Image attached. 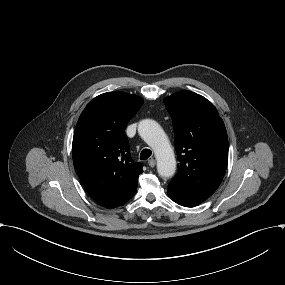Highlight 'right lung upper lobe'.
Returning <instances> with one entry per match:
<instances>
[{
  "instance_id": "1",
  "label": "right lung upper lobe",
  "mask_w": 285,
  "mask_h": 285,
  "mask_svg": "<svg viewBox=\"0 0 285 285\" xmlns=\"http://www.w3.org/2000/svg\"><path fill=\"white\" fill-rule=\"evenodd\" d=\"M143 104L137 95L120 91L94 98L77 122L72 157L79 178L99 204L114 208L136 193L142 164L129 152L125 128Z\"/></svg>"
}]
</instances>
